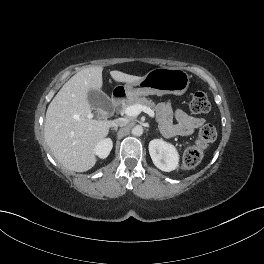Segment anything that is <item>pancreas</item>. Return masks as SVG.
<instances>
[{
  "label": "pancreas",
  "mask_w": 264,
  "mask_h": 264,
  "mask_svg": "<svg viewBox=\"0 0 264 264\" xmlns=\"http://www.w3.org/2000/svg\"><path fill=\"white\" fill-rule=\"evenodd\" d=\"M135 104L147 106L154 111H158L157 105H155V103L152 100L147 99L145 97H130L122 102L121 107L124 110L128 106L135 105Z\"/></svg>",
  "instance_id": "cf45deb5"
}]
</instances>
